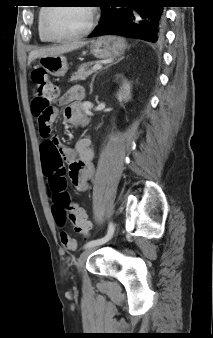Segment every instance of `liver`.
Instances as JSON below:
<instances>
[{
    "instance_id": "obj_1",
    "label": "liver",
    "mask_w": 213,
    "mask_h": 338,
    "mask_svg": "<svg viewBox=\"0 0 213 338\" xmlns=\"http://www.w3.org/2000/svg\"><path fill=\"white\" fill-rule=\"evenodd\" d=\"M87 42L85 41H74L72 43L59 45V46H52L41 48L37 50H33L30 52L28 57V66L37 58L40 57H47V56H58L64 53L71 52L73 50L79 49L83 47Z\"/></svg>"
}]
</instances>
